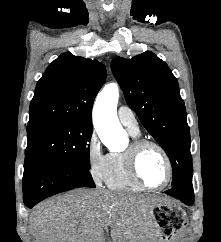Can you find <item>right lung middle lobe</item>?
Segmentation results:
<instances>
[{
  "label": "right lung middle lobe",
  "mask_w": 221,
  "mask_h": 242,
  "mask_svg": "<svg viewBox=\"0 0 221 242\" xmlns=\"http://www.w3.org/2000/svg\"><path fill=\"white\" fill-rule=\"evenodd\" d=\"M92 124L62 121L27 127L25 161L46 158L90 169Z\"/></svg>",
  "instance_id": "dd1d6c3e"
}]
</instances>
